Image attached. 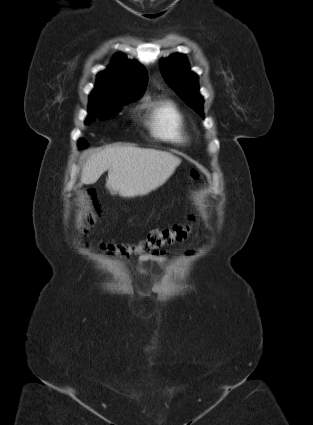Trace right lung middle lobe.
Returning a JSON list of instances; mask_svg holds the SVG:
<instances>
[{
	"mask_svg": "<svg viewBox=\"0 0 313 425\" xmlns=\"http://www.w3.org/2000/svg\"><path fill=\"white\" fill-rule=\"evenodd\" d=\"M131 101L133 100L125 98V97H121V96H114V97L90 102L89 115H88V118L86 119V123L94 120L95 117L103 119V118L114 116L115 114L121 111L123 105H126L130 103ZM78 146L82 148V147H86L87 144L83 141H79Z\"/></svg>",
	"mask_w": 313,
	"mask_h": 425,
	"instance_id": "right-lung-middle-lobe-1",
	"label": "right lung middle lobe"
}]
</instances>
